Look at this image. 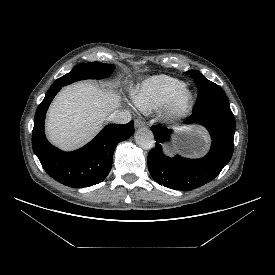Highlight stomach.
<instances>
[{
	"mask_svg": "<svg viewBox=\"0 0 275 275\" xmlns=\"http://www.w3.org/2000/svg\"><path fill=\"white\" fill-rule=\"evenodd\" d=\"M176 148L182 153L190 156H196L204 152L208 145V138L205 133L199 129H190L181 132L176 137Z\"/></svg>",
	"mask_w": 275,
	"mask_h": 275,
	"instance_id": "1",
	"label": "stomach"
}]
</instances>
